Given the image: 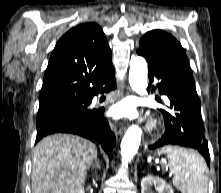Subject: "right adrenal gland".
Returning a JSON list of instances; mask_svg holds the SVG:
<instances>
[{"mask_svg":"<svg viewBox=\"0 0 221 193\" xmlns=\"http://www.w3.org/2000/svg\"><path fill=\"white\" fill-rule=\"evenodd\" d=\"M97 168V169H100V162L98 159L95 160L94 164H93V168Z\"/></svg>","mask_w":221,"mask_h":193,"instance_id":"obj_1","label":"right adrenal gland"}]
</instances>
